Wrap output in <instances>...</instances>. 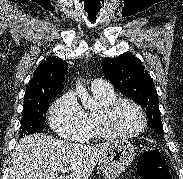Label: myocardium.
I'll return each mask as SVG.
<instances>
[{
	"mask_svg": "<svg viewBox=\"0 0 183 179\" xmlns=\"http://www.w3.org/2000/svg\"><path fill=\"white\" fill-rule=\"evenodd\" d=\"M124 103L132 105L134 108L137 109V111L141 115L142 125L134 133L129 134L120 133L113 127L112 124L113 116L117 111V109ZM97 123L101 132L107 137L119 138V139H131L141 135L146 130L148 125V119L144 109L139 103L130 98L117 97L109 101L108 103L104 104L102 107H100L97 113Z\"/></svg>",
	"mask_w": 183,
	"mask_h": 179,
	"instance_id": "myocardium-1",
	"label": "myocardium"
}]
</instances>
